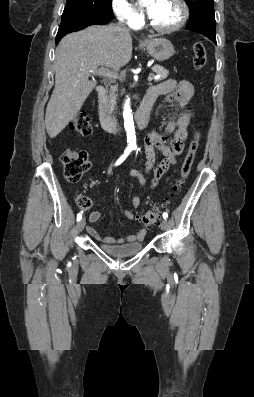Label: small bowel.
I'll return each mask as SVG.
<instances>
[{
  "label": "small bowel",
  "instance_id": "c3829d8e",
  "mask_svg": "<svg viewBox=\"0 0 254 397\" xmlns=\"http://www.w3.org/2000/svg\"><path fill=\"white\" fill-rule=\"evenodd\" d=\"M147 95L153 99V102L158 97L164 96L166 103H175L181 112L176 118L169 120L165 126V131L173 134L172 138L168 139L165 135L159 133L155 129L146 136L144 141L146 156L144 171L140 172L137 170H131L129 172V176L136 178L141 188L146 184L145 175L151 171H153L151 186H156L166 175L169 168L176 164L177 156L182 153L184 141L187 138V129L193 118V112L191 110L183 109L191 104L194 96V87L187 80L177 81L175 79H167L151 87L148 90ZM156 151H159L163 155V159L159 165L154 168ZM132 204L134 208L140 207L141 200L139 195L133 196ZM90 205L91 202H89V206ZM122 213L129 220H133L135 218L134 213L130 210L124 209L122 210ZM99 219L100 212L97 209L92 210L89 214V221L91 223H95ZM86 230L96 241L108 245L118 244L123 241H141L146 234L145 229H140L138 232L126 237L125 239H119L115 237L102 236L90 225L86 227Z\"/></svg>",
  "mask_w": 254,
  "mask_h": 397
}]
</instances>
